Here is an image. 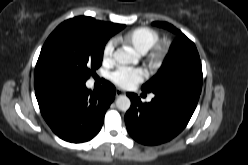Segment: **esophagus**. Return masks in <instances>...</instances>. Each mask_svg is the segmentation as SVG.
I'll return each instance as SVG.
<instances>
[{
	"label": "esophagus",
	"mask_w": 248,
	"mask_h": 165,
	"mask_svg": "<svg viewBox=\"0 0 248 165\" xmlns=\"http://www.w3.org/2000/svg\"><path fill=\"white\" fill-rule=\"evenodd\" d=\"M123 94H125V92L123 91V90H121V89H117L116 90V96L118 97V96H121V95H123Z\"/></svg>",
	"instance_id": "1"
}]
</instances>
